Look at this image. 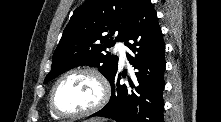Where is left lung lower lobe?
Instances as JSON below:
<instances>
[{"label":"left lung lower lobe","mask_w":221,"mask_h":122,"mask_svg":"<svg viewBox=\"0 0 221 122\" xmlns=\"http://www.w3.org/2000/svg\"><path fill=\"white\" fill-rule=\"evenodd\" d=\"M125 45L135 53V57L127 54L130 64L136 69L134 83L129 78L131 88L121 85V74H116L110 82V101L91 116L111 118L117 122H163L165 45L150 0H139Z\"/></svg>","instance_id":"1"}]
</instances>
